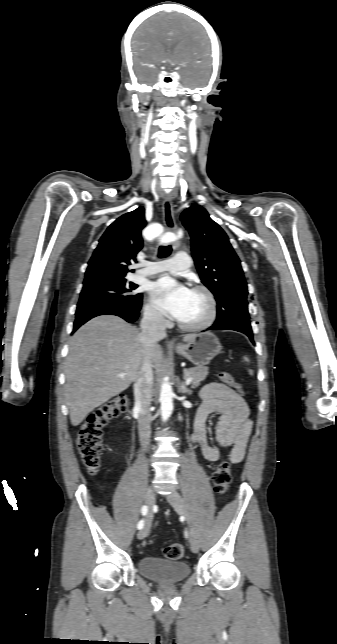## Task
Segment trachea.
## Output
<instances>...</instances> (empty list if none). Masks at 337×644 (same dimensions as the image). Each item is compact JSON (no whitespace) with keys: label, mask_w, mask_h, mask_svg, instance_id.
Segmentation results:
<instances>
[{"label":"trachea","mask_w":337,"mask_h":644,"mask_svg":"<svg viewBox=\"0 0 337 644\" xmlns=\"http://www.w3.org/2000/svg\"><path fill=\"white\" fill-rule=\"evenodd\" d=\"M172 251V247L170 245L168 246H162L159 248V256L160 257H165L168 256Z\"/></svg>","instance_id":"3493384b"}]
</instances>
